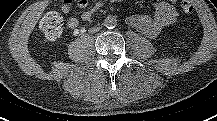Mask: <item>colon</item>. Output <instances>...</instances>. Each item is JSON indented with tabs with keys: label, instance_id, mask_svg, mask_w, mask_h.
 I'll use <instances>...</instances> for the list:
<instances>
[{
	"label": "colon",
	"instance_id": "5ec220e1",
	"mask_svg": "<svg viewBox=\"0 0 217 121\" xmlns=\"http://www.w3.org/2000/svg\"><path fill=\"white\" fill-rule=\"evenodd\" d=\"M180 2L185 7L190 5L188 0H180ZM41 28L48 37H58L64 29L63 16L57 11L47 13L42 21Z\"/></svg>",
	"mask_w": 217,
	"mask_h": 121
}]
</instances>
